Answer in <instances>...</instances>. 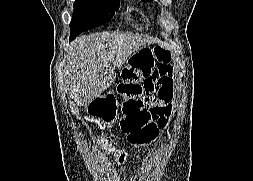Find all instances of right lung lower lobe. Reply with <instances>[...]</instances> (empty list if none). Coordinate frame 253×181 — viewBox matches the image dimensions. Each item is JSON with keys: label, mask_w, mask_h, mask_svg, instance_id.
Wrapping results in <instances>:
<instances>
[{"label": "right lung lower lobe", "mask_w": 253, "mask_h": 181, "mask_svg": "<svg viewBox=\"0 0 253 181\" xmlns=\"http://www.w3.org/2000/svg\"><path fill=\"white\" fill-rule=\"evenodd\" d=\"M74 38H75V37H70V39H69V40L71 41V40H72V39H74Z\"/></svg>", "instance_id": "1"}]
</instances>
